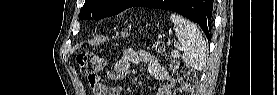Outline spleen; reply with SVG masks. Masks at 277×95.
<instances>
[{
  "instance_id": "spleen-1",
  "label": "spleen",
  "mask_w": 277,
  "mask_h": 95,
  "mask_svg": "<svg viewBox=\"0 0 277 95\" xmlns=\"http://www.w3.org/2000/svg\"><path fill=\"white\" fill-rule=\"evenodd\" d=\"M175 34L182 46V59L195 70H202L206 61V42L199 28L189 20L171 14Z\"/></svg>"
}]
</instances>
